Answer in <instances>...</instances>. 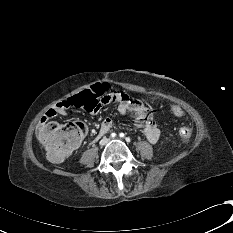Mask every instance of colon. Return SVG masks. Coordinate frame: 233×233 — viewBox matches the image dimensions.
<instances>
[{"label": "colon", "mask_w": 233, "mask_h": 233, "mask_svg": "<svg viewBox=\"0 0 233 233\" xmlns=\"http://www.w3.org/2000/svg\"><path fill=\"white\" fill-rule=\"evenodd\" d=\"M108 88L120 90L115 84L109 85L106 82H100L91 86L90 89L68 98L66 106L91 111L95 102L101 101L102 97L107 95L106 90ZM170 112L181 120L186 116L185 110L178 105H171ZM85 132L86 128L82 123L69 122L46 125L39 131L38 136L47 156L54 162H61L80 144ZM191 135L192 129L190 127L185 126L179 129V136L182 139H189Z\"/></svg>", "instance_id": "colon-1"}]
</instances>
